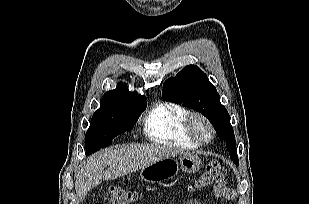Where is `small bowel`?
Here are the masks:
<instances>
[{
	"mask_svg": "<svg viewBox=\"0 0 309 204\" xmlns=\"http://www.w3.org/2000/svg\"><path fill=\"white\" fill-rule=\"evenodd\" d=\"M213 191L216 196H219L225 199L234 198V191L231 188H229L226 185L225 181L223 180L214 186Z\"/></svg>",
	"mask_w": 309,
	"mask_h": 204,
	"instance_id": "c3829d8e",
	"label": "small bowel"
}]
</instances>
